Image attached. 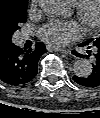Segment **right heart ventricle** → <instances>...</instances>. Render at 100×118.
Masks as SVG:
<instances>
[{
  "mask_svg": "<svg viewBox=\"0 0 100 118\" xmlns=\"http://www.w3.org/2000/svg\"><path fill=\"white\" fill-rule=\"evenodd\" d=\"M69 3H71V4H76L79 0H67Z\"/></svg>",
  "mask_w": 100,
  "mask_h": 118,
  "instance_id": "1",
  "label": "right heart ventricle"
}]
</instances>
